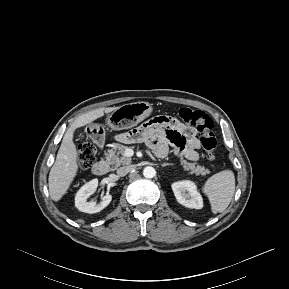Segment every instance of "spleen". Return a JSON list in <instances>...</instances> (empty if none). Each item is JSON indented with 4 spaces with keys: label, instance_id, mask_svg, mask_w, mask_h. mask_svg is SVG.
<instances>
[{
    "label": "spleen",
    "instance_id": "spleen-1",
    "mask_svg": "<svg viewBox=\"0 0 289 289\" xmlns=\"http://www.w3.org/2000/svg\"><path fill=\"white\" fill-rule=\"evenodd\" d=\"M214 214L223 212L235 192V176L232 170H223L211 176L202 187Z\"/></svg>",
    "mask_w": 289,
    "mask_h": 289
}]
</instances>
